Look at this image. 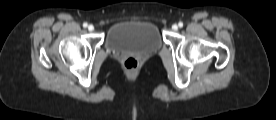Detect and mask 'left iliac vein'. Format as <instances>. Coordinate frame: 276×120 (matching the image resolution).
<instances>
[{
	"instance_id": "4c4485c4",
	"label": "left iliac vein",
	"mask_w": 276,
	"mask_h": 120,
	"mask_svg": "<svg viewBox=\"0 0 276 120\" xmlns=\"http://www.w3.org/2000/svg\"><path fill=\"white\" fill-rule=\"evenodd\" d=\"M172 29L176 31L178 29V26L176 24H173Z\"/></svg>"
}]
</instances>
